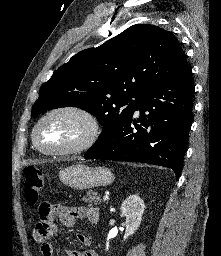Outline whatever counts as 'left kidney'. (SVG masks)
Returning <instances> with one entry per match:
<instances>
[{
	"label": "left kidney",
	"mask_w": 221,
	"mask_h": 256,
	"mask_svg": "<svg viewBox=\"0 0 221 256\" xmlns=\"http://www.w3.org/2000/svg\"><path fill=\"white\" fill-rule=\"evenodd\" d=\"M144 209V201L138 195H130L122 203L121 213L126 217L124 241L139 228Z\"/></svg>",
	"instance_id": "1"
}]
</instances>
